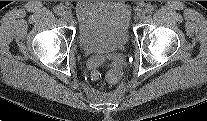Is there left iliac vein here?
I'll return each mask as SVG.
<instances>
[{
    "mask_svg": "<svg viewBox=\"0 0 207 121\" xmlns=\"http://www.w3.org/2000/svg\"><path fill=\"white\" fill-rule=\"evenodd\" d=\"M145 18V12L144 10H140L138 13H137V19L138 20H143Z\"/></svg>",
    "mask_w": 207,
    "mask_h": 121,
    "instance_id": "left-iliac-vein-1",
    "label": "left iliac vein"
}]
</instances>
